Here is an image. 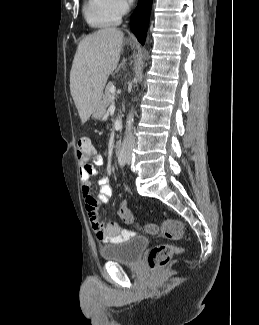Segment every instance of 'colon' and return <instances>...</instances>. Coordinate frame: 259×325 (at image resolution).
<instances>
[{
    "label": "colon",
    "instance_id": "5ec220e1",
    "mask_svg": "<svg viewBox=\"0 0 259 325\" xmlns=\"http://www.w3.org/2000/svg\"><path fill=\"white\" fill-rule=\"evenodd\" d=\"M94 153V147L87 137L79 139L77 144V157L80 161L89 160ZM118 215L126 223L133 221V216L125 203H121ZM143 230L151 235H158L172 241H179L183 238L185 229L181 221L168 219L160 224L150 223L143 227ZM182 249L171 244H160L154 246L148 255V264L152 270L160 269L168 265L173 256L180 254Z\"/></svg>",
    "mask_w": 259,
    "mask_h": 325
}]
</instances>
